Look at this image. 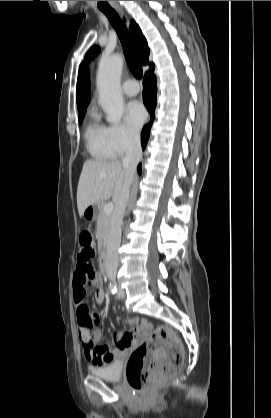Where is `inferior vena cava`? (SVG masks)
<instances>
[{
  "mask_svg": "<svg viewBox=\"0 0 271 418\" xmlns=\"http://www.w3.org/2000/svg\"><path fill=\"white\" fill-rule=\"evenodd\" d=\"M142 157V149L140 143V135L138 133L132 134L125 157L122 160V165L126 168L127 181L126 186L121 192L110 223V231L106 250V273L108 278L115 282L118 268V249L121 243V226L126 206L129 200L130 185L136 173L137 165Z\"/></svg>",
  "mask_w": 271,
  "mask_h": 418,
  "instance_id": "602c4592",
  "label": "inferior vena cava"
}]
</instances>
